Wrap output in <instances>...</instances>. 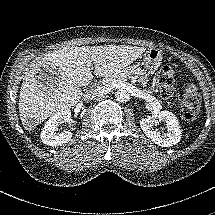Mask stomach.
<instances>
[{"label":"stomach","instance_id":"stomach-1","mask_svg":"<svg viewBox=\"0 0 215 215\" xmlns=\"http://www.w3.org/2000/svg\"><path fill=\"white\" fill-rule=\"evenodd\" d=\"M143 56V65L147 70L156 71L163 60V51L156 47H149L144 53Z\"/></svg>","mask_w":215,"mask_h":215}]
</instances>
